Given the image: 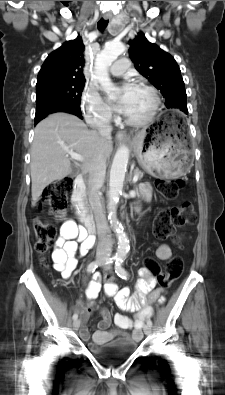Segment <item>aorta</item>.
<instances>
[{
    "mask_svg": "<svg viewBox=\"0 0 225 395\" xmlns=\"http://www.w3.org/2000/svg\"><path fill=\"white\" fill-rule=\"evenodd\" d=\"M124 51L125 46L121 42H110L105 45L103 50H101V52L96 56L95 78L101 85L102 90L105 92L115 90L108 74V68ZM128 160L129 149L126 146H121L114 156L109 180V220L117 233L118 248L115 257L119 261L126 257L130 249L128 237L123 231V228L116 216V205L123 190Z\"/></svg>",
    "mask_w": 225,
    "mask_h": 395,
    "instance_id": "obj_1",
    "label": "aorta"
}]
</instances>
